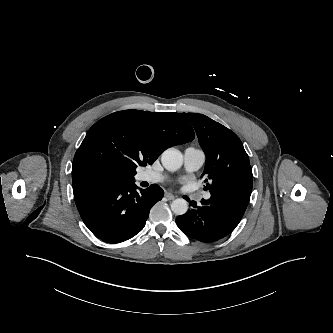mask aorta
Returning <instances> with one entry per match:
<instances>
[{"mask_svg": "<svg viewBox=\"0 0 333 333\" xmlns=\"http://www.w3.org/2000/svg\"><path fill=\"white\" fill-rule=\"evenodd\" d=\"M161 162L166 170L176 171L183 164L182 153L175 148H169L162 153ZM171 210L176 215L185 214L188 210L187 201L182 198L173 200L171 203Z\"/></svg>", "mask_w": 333, "mask_h": 333, "instance_id": "762f6f07", "label": "aorta"}]
</instances>
